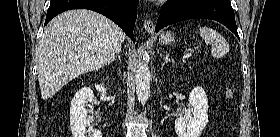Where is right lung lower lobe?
I'll list each match as a JSON object with an SVG mask.
<instances>
[{
    "label": "right lung lower lobe",
    "mask_w": 280,
    "mask_h": 137,
    "mask_svg": "<svg viewBox=\"0 0 280 137\" xmlns=\"http://www.w3.org/2000/svg\"><path fill=\"white\" fill-rule=\"evenodd\" d=\"M139 0H51L45 25L56 15L70 9H90L114 21L135 42L133 29Z\"/></svg>",
    "instance_id": "1"
}]
</instances>
